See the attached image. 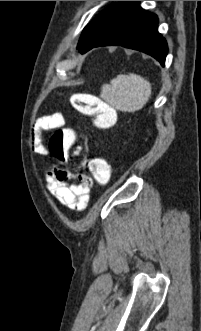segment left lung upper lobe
<instances>
[{"label":"left lung upper lobe","mask_w":201,"mask_h":331,"mask_svg":"<svg viewBox=\"0 0 201 331\" xmlns=\"http://www.w3.org/2000/svg\"><path fill=\"white\" fill-rule=\"evenodd\" d=\"M116 4H112L107 7L104 11L98 14L89 24H87L82 32L78 45H80L96 28L98 23L103 19V17L115 6Z\"/></svg>","instance_id":"obj_1"}]
</instances>
